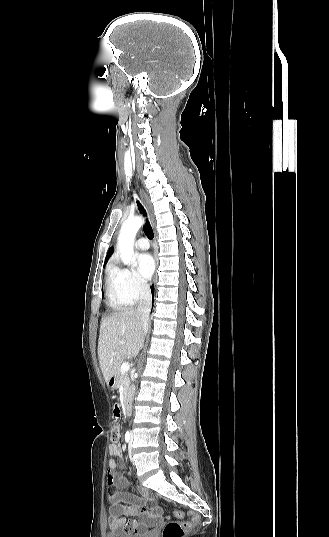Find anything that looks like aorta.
I'll use <instances>...</instances> for the list:
<instances>
[{"mask_svg":"<svg viewBox=\"0 0 329 537\" xmlns=\"http://www.w3.org/2000/svg\"><path fill=\"white\" fill-rule=\"evenodd\" d=\"M141 216L130 217L122 225L118 238V249L122 262L126 265L133 263V244L138 230L143 225Z\"/></svg>","mask_w":329,"mask_h":537,"instance_id":"obj_1","label":"aorta"}]
</instances>
